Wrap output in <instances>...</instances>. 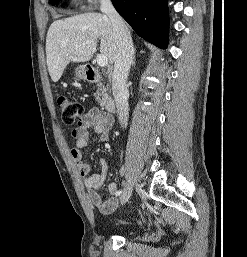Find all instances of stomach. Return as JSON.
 I'll list each match as a JSON object with an SVG mask.
<instances>
[{
	"label": "stomach",
	"instance_id": "1",
	"mask_svg": "<svg viewBox=\"0 0 247 257\" xmlns=\"http://www.w3.org/2000/svg\"><path fill=\"white\" fill-rule=\"evenodd\" d=\"M85 65H80L76 68L75 70V75L79 79H85L86 78V70H85Z\"/></svg>",
	"mask_w": 247,
	"mask_h": 257
}]
</instances>
